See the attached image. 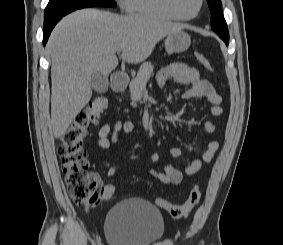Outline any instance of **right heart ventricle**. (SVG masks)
<instances>
[{
	"label": "right heart ventricle",
	"mask_w": 283,
	"mask_h": 245,
	"mask_svg": "<svg viewBox=\"0 0 283 245\" xmlns=\"http://www.w3.org/2000/svg\"><path fill=\"white\" fill-rule=\"evenodd\" d=\"M125 10L129 14L158 19L174 20L163 5V0H127Z\"/></svg>",
	"instance_id": "1"
}]
</instances>
